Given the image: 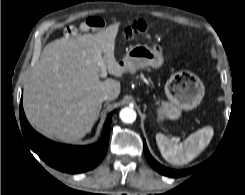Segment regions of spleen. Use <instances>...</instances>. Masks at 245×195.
Wrapping results in <instances>:
<instances>
[{
  "label": "spleen",
  "mask_w": 245,
  "mask_h": 195,
  "mask_svg": "<svg viewBox=\"0 0 245 195\" xmlns=\"http://www.w3.org/2000/svg\"><path fill=\"white\" fill-rule=\"evenodd\" d=\"M213 128L206 126L178 143L162 133L156 134V142L163 158L173 165H184L195 159L210 143Z\"/></svg>",
  "instance_id": "spleen-1"
}]
</instances>
